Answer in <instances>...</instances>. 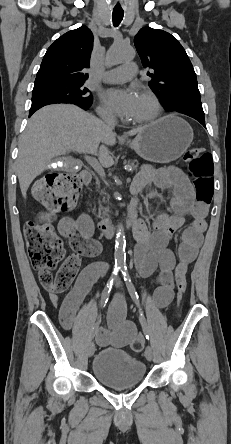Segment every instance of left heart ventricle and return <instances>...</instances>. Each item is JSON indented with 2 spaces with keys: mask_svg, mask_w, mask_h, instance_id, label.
<instances>
[{
  "mask_svg": "<svg viewBox=\"0 0 231 444\" xmlns=\"http://www.w3.org/2000/svg\"><path fill=\"white\" fill-rule=\"evenodd\" d=\"M152 111H153V106H152L151 102L147 98H145L141 95H138L136 106H135V109H134L133 114L131 115L130 119H137V118L145 117V116L151 114Z\"/></svg>",
  "mask_w": 231,
  "mask_h": 444,
  "instance_id": "1",
  "label": "left heart ventricle"
}]
</instances>
